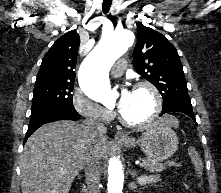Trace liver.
<instances>
[{
    "instance_id": "liver-1",
    "label": "liver",
    "mask_w": 221,
    "mask_h": 193,
    "mask_svg": "<svg viewBox=\"0 0 221 193\" xmlns=\"http://www.w3.org/2000/svg\"><path fill=\"white\" fill-rule=\"evenodd\" d=\"M159 120L179 126L172 116ZM107 150V137L93 140L83 124L60 120L41 126L29 137L21 155L22 193H68L86 155L95 153L100 159Z\"/></svg>"
}]
</instances>
